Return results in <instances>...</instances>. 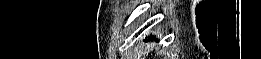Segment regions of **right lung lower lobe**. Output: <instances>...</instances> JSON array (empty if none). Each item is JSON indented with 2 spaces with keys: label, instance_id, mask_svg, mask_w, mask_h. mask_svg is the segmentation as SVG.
Returning <instances> with one entry per match:
<instances>
[{
  "label": "right lung lower lobe",
  "instance_id": "obj_1",
  "mask_svg": "<svg viewBox=\"0 0 261 59\" xmlns=\"http://www.w3.org/2000/svg\"><path fill=\"white\" fill-rule=\"evenodd\" d=\"M150 39H151V40H153V37H152V36H150V37L148 38V41H149Z\"/></svg>",
  "mask_w": 261,
  "mask_h": 59
}]
</instances>
